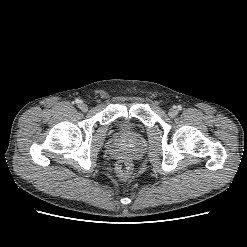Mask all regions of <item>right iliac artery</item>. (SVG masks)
Instances as JSON below:
<instances>
[{"instance_id": "obj_1", "label": "right iliac artery", "mask_w": 247, "mask_h": 247, "mask_svg": "<svg viewBox=\"0 0 247 247\" xmlns=\"http://www.w3.org/2000/svg\"><path fill=\"white\" fill-rule=\"evenodd\" d=\"M75 103H80V100H79V99H76V100H75Z\"/></svg>"}]
</instances>
